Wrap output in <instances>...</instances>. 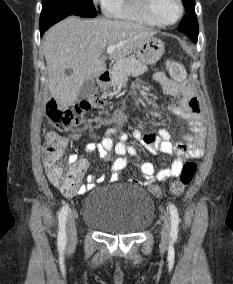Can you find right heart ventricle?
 <instances>
[{"label": "right heart ventricle", "instance_id": "1", "mask_svg": "<svg viewBox=\"0 0 233 284\" xmlns=\"http://www.w3.org/2000/svg\"><path fill=\"white\" fill-rule=\"evenodd\" d=\"M103 8L107 16L148 26L158 24L151 19L144 8V0H104Z\"/></svg>", "mask_w": 233, "mask_h": 284}]
</instances>
